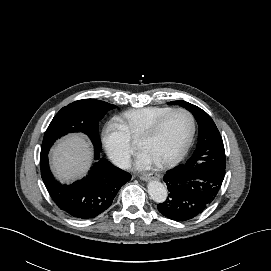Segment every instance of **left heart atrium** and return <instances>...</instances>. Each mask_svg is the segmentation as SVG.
Returning a JSON list of instances; mask_svg holds the SVG:
<instances>
[{"label": "left heart atrium", "mask_w": 271, "mask_h": 271, "mask_svg": "<svg viewBox=\"0 0 271 271\" xmlns=\"http://www.w3.org/2000/svg\"><path fill=\"white\" fill-rule=\"evenodd\" d=\"M155 163L156 161L147 151H142L136 160L135 166L139 170H145Z\"/></svg>", "instance_id": "39dd6f15"}]
</instances>
